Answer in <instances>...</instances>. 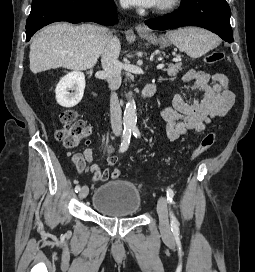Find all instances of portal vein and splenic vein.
<instances>
[{
	"mask_svg": "<svg viewBox=\"0 0 255 272\" xmlns=\"http://www.w3.org/2000/svg\"><path fill=\"white\" fill-rule=\"evenodd\" d=\"M163 67H164L163 63L157 65V69H162Z\"/></svg>",
	"mask_w": 255,
	"mask_h": 272,
	"instance_id": "portal-vein-and-splenic-vein-1",
	"label": "portal vein and splenic vein"
}]
</instances>
